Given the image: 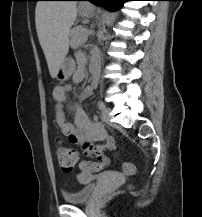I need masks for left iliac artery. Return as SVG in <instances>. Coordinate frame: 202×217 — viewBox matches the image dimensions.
<instances>
[{
    "label": "left iliac artery",
    "instance_id": "44dca946",
    "mask_svg": "<svg viewBox=\"0 0 202 217\" xmlns=\"http://www.w3.org/2000/svg\"><path fill=\"white\" fill-rule=\"evenodd\" d=\"M98 107H99V109H100L101 111H103V110L105 109V104H104V102H103V101H99V102H98Z\"/></svg>",
    "mask_w": 202,
    "mask_h": 217
}]
</instances>
